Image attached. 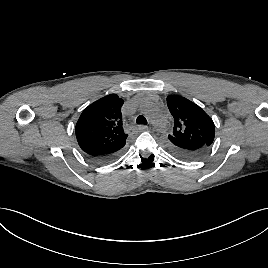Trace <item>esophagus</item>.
Segmentation results:
<instances>
[{
	"label": "esophagus",
	"mask_w": 268,
	"mask_h": 268,
	"mask_svg": "<svg viewBox=\"0 0 268 268\" xmlns=\"http://www.w3.org/2000/svg\"><path fill=\"white\" fill-rule=\"evenodd\" d=\"M141 128L144 129V130H145V129H148L147 126H141Z\"/></svg>",
	"instance_id": "esophagus-1"
}]
</instances>
